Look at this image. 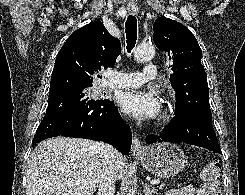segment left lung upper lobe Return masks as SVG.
I'll return each instance as SVG.
<instances>
[{"mask_svg": "<svg viewBox=\"0 0 245 195\" xmlns=\"http://www.w3.org/2000/svg\"><path fill=\"white\" fill-rule=\"evenodd\" d=\"M157 48L168 54L171 86L176 92L175 115L199 112L212 116L207 74L201 64L202 52L195 36L181 23L159 17L153 25Z\"/></svg>", "mask_w": 245, "mask_h": 195, "instance_id": "obj_1", "label": "left lung upper lobe"}]
</instances>
